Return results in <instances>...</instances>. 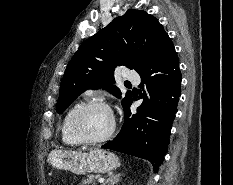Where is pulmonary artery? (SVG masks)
I'll return each instance as SVG.
<instances>
[{"instance_id":"1","label":"pulmonary artery","mask_w":233,"mask_h":185,"mask_svg":"<svg viewBox=\"0 0 233 185\" xmlns=\"http://www.w3.org/2000/svg\"><path fill=\"white\" fill-rule=\"evenodd\" d=\"M126 79L134 84H138L140 82L139 75L131 71L126 72ZM91 93V91L88 92V94Z\"/></svg>"}]
</instances>
